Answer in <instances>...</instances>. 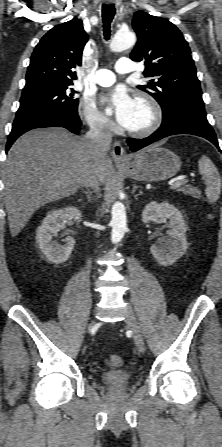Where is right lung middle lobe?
Instances as JSON below:
<instances>
[{
    "label": "right lung middle lobe",
    "mask_w": 222,
    "mask_h": 447,
    "mask_svg": "<svg viewBox=\"0 0 222 447\" xmlns=\"http://www.w3.org/2000/svg\"><path fill=\"white\" fill-rule=\"evenodd\" d=\"M68 85H46L23 89L13 125L62 111H77L78 99Z\"/></svg>",
    "instance_id": "dd1d6c3e"
}]
</instances>
